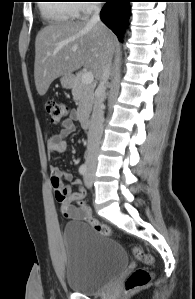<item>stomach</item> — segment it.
<instances>
[{
  "label": "stomach",
  "instance_id": "0dacf381",
  "mask_svg": "<svg viewBox=\"0 0 195 299\" xmlns=\"http://www.w3.org/2000/svg\"><path fill=\"white\" fill-rule=\"evenodd\" d=\"M61 85L63 88L69 89L72 88L74 84V77L73 75H63L60 79Z\"/></svg>",
  "mask_w": 195,
  "mask_h": 299
}]
</instances>
